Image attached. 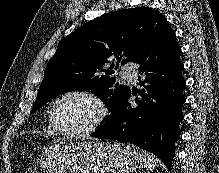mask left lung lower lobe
I'll return each instance as SVG.
<instances>
[{
  "label": "left lung lower lobe",
  "mask_w": 219,
  "mask_h": 173,
  "mask_svg": "<svg viewBox=\"0 0 219 173\" xmlns=\"http://www.w3.org/2000/svg\"><path fill=\"white\" fill-rule=\"evenodd\" d=\"M180 53L181 48L172 32L143 54L136 63L140 64L138 70L145 76L140 81L145 89L139 92L144 98L131 104L128 101L129 90L107 120L90 136L132 143L157 155L169 170L175 156V142L180 134L179 123L183 119L182 105L185 102L183 88L186 82L182 76L184 66ZM152 60L154 64L149 62ZM151 71L161 76L153 79L149 74Z\"/></svg>",
  "instance_id": "0a47b994"
}]
</instances>
